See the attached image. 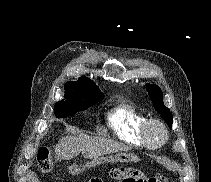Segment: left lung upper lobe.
<instances>
[{
	"label": "left lung upper lobe",
	"mask_w": 211,
	"mask_h": 182,
	"mask_svg": "<svg viewBox=\"0 0 211 182\" xmlns=\"http://www.w3.org/2000/svg\"><path fill=\"white\" fill-rule=\"evenodd\" d=\"M146 90L153 102L155 109L165 120L169 127H172L173 116L170 110L163 103V93L159 86L154 84H146Z\"/></svg>",
	"instance_id": "5c2ea615"
}]
</instances>
